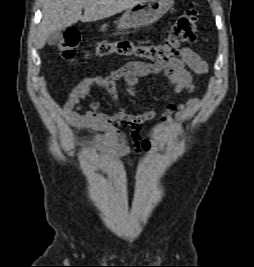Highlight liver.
<instances>
[{"label": "liver", "instance_id": "6515ba94", "mask_svg": "<svg viewBox=\"0 0 254 267\" xmlns=\"http://www.w3.org/2000/svg\"><path fill=\"white\" fill-rule=\"evenodd\" d=\"M144 0H44L37 32V48L42 49L49 35L77 23L111 17ZM84 9V15H82Z\"/></svg>", "mask_w": 254, "mask_h": 267}]
</instances>
